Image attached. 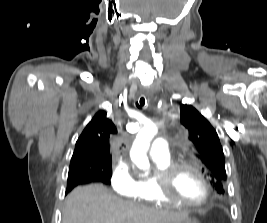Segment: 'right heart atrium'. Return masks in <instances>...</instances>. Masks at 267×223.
<instances>
[{"mask_svg": "<svg viewBox=\"0 0 267 223\" xmlns=\"http://www.w3.org/2000/svg\"><path fill=\"white\" fill-rule=\"evenodd\" d=\"M136 180L130 165L126 161H120L113 168L110 184L114 192L121 195H129L133 192Z\"/></svg>", "mask_w": 267, "mask_h": 223, "instance_id": "1", "label": "right heart atrium"}]
</instances>
